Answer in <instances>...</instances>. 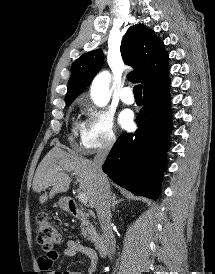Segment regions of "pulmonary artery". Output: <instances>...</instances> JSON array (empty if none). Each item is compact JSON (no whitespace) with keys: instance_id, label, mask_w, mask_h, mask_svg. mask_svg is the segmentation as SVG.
Returning <instances> with one entry per match:
<instances>
[{"instance_id":"e3ab8cb5","label":"pulmonary artery","mask_w":215,"mask_h":274,"mask_svg":"<svg viewBox=\"0 0 215 274\" xmlns=\"http://www.w3.org/2000/svg\"><path fill=\"white\" fill-rule=\"evenodd\" d=\"M120 99L125 104L131 105L135 102V98L130 87H124L120 91Z\"/></svg>"}]
</instances>
